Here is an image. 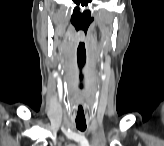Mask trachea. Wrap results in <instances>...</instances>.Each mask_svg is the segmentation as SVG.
Here are the masks:
<instances>
[{
    "label": "trachea",
    "instance_id": "obj_1",
    "mask_svg": "<svg viewBox=\"0 0 164 146\" xmlns=\"http://www.w3.org/2000/svg\"><path fill=\"white\" fill-rule=\"evenodd\" d=\"M76 127L80 131H85L86 130V122L85 121H76Z\"/></svg>",
    "mask_w": 164,
    "mask_h": 146
}]
</instances>
